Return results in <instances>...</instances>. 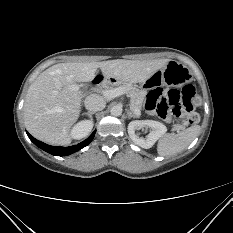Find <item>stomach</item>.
<instances>
[{"instance_id": "obj_1", "label": "stomach", "mask_w": 233, "mask_h": 233, "mask_svg": "<svg viewBox=\"0 0 233 233\" xmlns=\"http://www.w3.org/2000/svg\"><path fill=\"white\" fill-rule=\"evenodd\" d=\"M191 81V72L183 64L169 61L162 69L156 71L143 83V89L149 90L151 86L170 85L182 86Z\"/></svg>"}]
</instances>
